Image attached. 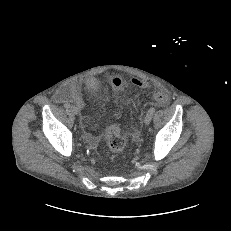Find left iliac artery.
Listing matches in <instances>:
<instances>
[{
    "instance_id": "obj_1",
    "label": "left iliac artery",
    "mask_w": 231,
    "mask_h": 231,
    "mask_svg": "<svg viewBox=\"0 0 231 231\" xmlns=\"http://www.w3.org/2000/svg\"><path fill=\"white\" fill-rule=\"evenodd\" d=\"M155 112V108L154 107H151L150 109H149V113L150 114H153Z\"/></svg>"
}]
</instances>
